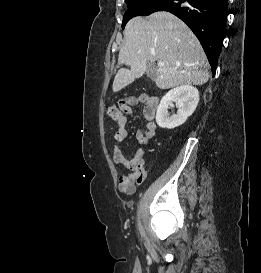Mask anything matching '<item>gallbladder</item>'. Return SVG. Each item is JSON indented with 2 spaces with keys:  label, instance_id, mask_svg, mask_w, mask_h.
<instances>
[{
  "label": "gallbladder",
  "instance_id": "obj_1",
  "mask_svg": "<svg viewBox=\"0 0 261 273\" xmlns=\"http://www.w3.org/2000/svg\"><path fill=\"white\" fill-rule=\"evenodd\" d=\"M147 77H149L150 79L154 80L157 76V72H156V67L154 65V63H148V68L146 71Z\"/></svg>",
  "mask_w": 261,
  "mask_h": 273
}]
</instances>
